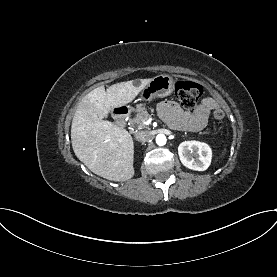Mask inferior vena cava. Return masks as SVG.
I'll use <instances>...</instances> for the list:
<instances>
[{"mask_svg":"<svg viewBox=\"0 0 277 277\" xmlns=\"http://www.w3.org/2000/svg\"><path fill=\"white\" fill-rule=\"evenodd\" d=\"M135 138L139 142H147L150 140L151 135L148 131H139L138 133H136Z\"/></svg>","mask_w":277,"mask_h":277,"instance_id":"602c4592","label":"inferior vena cava"}]
</instances>
